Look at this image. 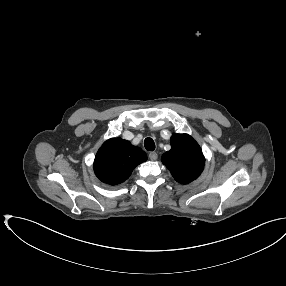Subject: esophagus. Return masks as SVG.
I'll list each match as a JSON object with an SVG mask.
<instances>
[{"label": "esophagus", "mask_w": 286, "mask_h": 286, "mask_svg": "<svg viewBox=\"0 0 286 286\" xmlns=\"http://www.w3.org/2000/svg\"><path fill=\"white\" fill-rule=\"evenodd\" d=\"M158 158V154L156 152H150L149 153V159L154 161Z\"/></svg>", "instance_id": "1"}]
</instances>
